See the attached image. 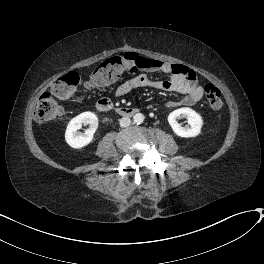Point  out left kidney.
<instances>
[{
  "mask_svg": "<svg viewBox=\"0 0 264 264\" xmlns=\"http://www.w3.org/2000/svg\"><path fill=\"white\" fill-rule=\"evenodd\" d=\"M181 117L187 118L190 127H182L177 122V119ZM168 122L174 133L184 138L196 137L201 132L203 126V119L200 114L188 107L179 108L171 112L168 116Z\"/></svg>",
  "mask_w": 264,
  "mask_h": 264,
  "instance_id": "5707ae66",
  "label": "left kidney"
}]
</instances>
